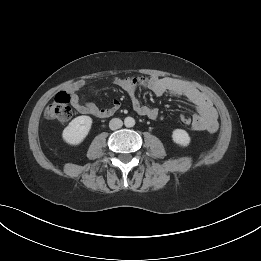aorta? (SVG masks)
<instances>
[{"label":"aorta","mask_w":261,"mask_h":261,"mask_svg":"<svg viewBox=\"0 0 261 261\" xmlns=\"http://www.w3.org/2000/svg\"><path fill=\"white\" fill-rule=\"evenodd\" d=\"M124 124L126 127H133L135 125V120L132 117H126L124 119Z\"/></svg>","instance_id":"762f6f07"}]
</instances>
